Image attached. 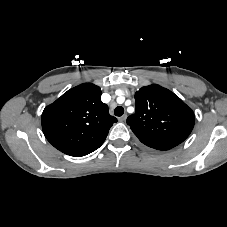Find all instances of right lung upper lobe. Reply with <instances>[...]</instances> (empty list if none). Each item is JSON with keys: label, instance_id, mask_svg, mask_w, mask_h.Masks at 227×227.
Returning <instances> with one entry per match:
<instances>
[{"label": "right lung upper lobe", "instance_id": "right-lung-upper-lobe-1", "mask_svg": "<svg viewBox=\"0 0 227 227\" xmlns=\"http://www.w3.org/2000/svg\"><path fill=\"white\" fill-rule=\"evenodd\" d=\"M100 87L78 85L45 107L42 129L47 140L61 152L75 157L98 149L117 119L101 101Z\"/></svg>", "mask_w": 227, "mask_h": 227}]
</instances>
